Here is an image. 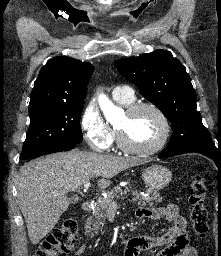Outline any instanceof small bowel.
Listing matches in <instances>:
<instances>
[{"mask_svg":"<svg viewBox=\"0 0 221 256\" xmlns=\"http://www.w3.org/2000/svg\"><path fill=\"white\" fill-rule=\"evenodd\" d=\"M136 215L139 218L164 219L173 222V226L160 235L129 239L125 246L124 256H139L144 251L160 246L165 247L155 256H197L196 250L189 244L186 220L179 215L174 204L158 208L141 207L137 209ZM86 249L87 246L82 245L76 256H82Z\"/></svg>","mask_w":221,"mask_h":256,"instance_id":"c3829d8e","label":"small bowel"}]
</instances>
